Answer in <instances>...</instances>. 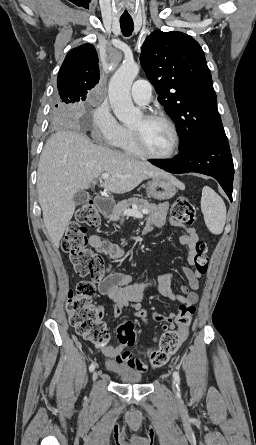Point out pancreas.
Listing matches in <instances>:
<instances>
[{
  "mask_svg": "<svg viewBox=\"0 0 256 445\" xmlns=\"http://www.w3.org/2000/svg\"><path fill=\"white\" fill-rule=\"evenodd\" d=\"M136 205L140 209L147 210V214H153L157 211V206L147 200L139 198H129L123 200L114 206L112 213L109 215L111 221H118L124 210H130L131 206Z\"/></svg>",
  "mask_w": 256,
  "mask_h": 445,
  "instance_id": "1",
  "label": "pancreas"
}]
</instances>
